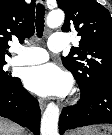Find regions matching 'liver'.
I'll return each mask as SVG.
<instances>
[{"label":"liver","instance_id":"6515ba94","mask_svg":"<svg viewBox=\"0 0 112 135\" xmlns=\"http://www.w3.org/2000/svg\"><path fill=\"white\" fill-rule=\"evenodd\" d=\"M0 135H25V130L3 118H0Z\"/></svg>","mask_w":112,"mask_h":135}]
</instances>
